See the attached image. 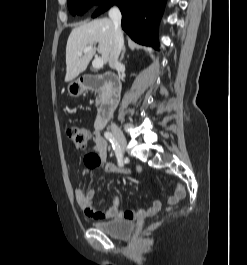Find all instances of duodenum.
I'll return each mask as SVG.
<instances>
[{"instance_id":"1","label":"duodenum","mask_w":247,"mask_h":265,"mask_svg":"<svg viewBox=\"0 0 247 265\" xmlns=\"http://www.w3.org/2000/svg\"><path fill=\"white\" fill-rule=\"evenodd\" d=\"M80 84L84 89H104L105 98L95 119V128L99 130L111 116L118 103L122 88L121 82L114 74L103 73L99 75H84Z\"/></svg>"}]
</instances>
